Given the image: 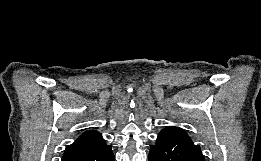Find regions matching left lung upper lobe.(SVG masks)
<instances>
[{"mask_svg": "<svg viewBox=\"0 0 261 161\" xmlns=\"http://www.w3.org/2000/svg\"><path fill=\"white\" fill-rule=\"evenodd\" d=\"M162 131H171V132H174V133H177L187 139H190L189 136L186 134V132H184L182 129L180 128H177V127H168V128H165L164 130Z\"/></svg>", "mask_w": 261, "mask_h": 161, "instance_id": "5c2ea615", "label": "left lung upper lobe"}]
</instances>
